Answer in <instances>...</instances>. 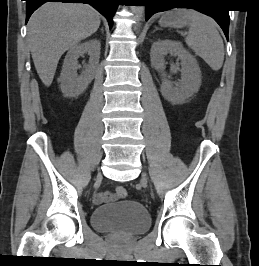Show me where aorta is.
<instances>
[{
  "instance_id": "aorta-1",
  "label": "aorta",
  "mask_w": 259,
  "mask_h": 266,
  "mask_svg": "<svg viewBox=\"0 0 259 266\" xmlns=\"http://www.w3.org/2000/svg\"><path fill=\"white\" fill-rule=\"evenodd\" d=\"M144 7L143 6H132L131 11L134 14V18L139 21L144 15Z\"/></svg>"
}]
</instances>
